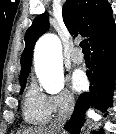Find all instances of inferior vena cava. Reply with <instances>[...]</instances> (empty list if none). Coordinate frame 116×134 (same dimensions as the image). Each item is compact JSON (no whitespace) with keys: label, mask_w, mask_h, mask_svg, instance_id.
Segmentation results:
<instances>
[{"label":"inferior vena cava","mask_w":116,"mask_h":134,"mask_svg":"<svg viewBox=\"0 0 116 134\" xmlns=\"http://www.w3.org/2000/svg\"><path fill=\"white\" fill-rule=\"evenodd\" d=\"M73 109H74V103L73 101L69 100L62 108V110L59 111L55 120L51 124V129L55 131L56 134H62L63 126L70 118Z\"/></svg>","instance_id":"1"}]
</instances>
